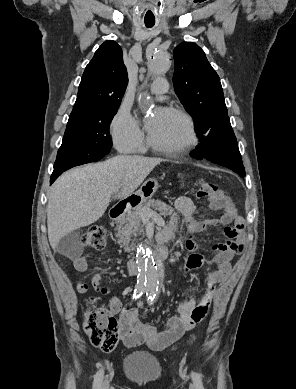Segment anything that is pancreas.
Listing matches in <instances>:
<instances>
[{"mask_svg":"<svg viewBox=\"0 0 296 389\" xmlns=\"http://www.w3.org/2000/svg\"><path fill=\"white\" fill-rule=\"evenodd\" d=\"M142 209H150L157 215L170 216L171 219H176L173 215V208L159 200H149L133 211H129L117 221L115 228V236L119 238L118 241L126 252L131 249L132 237L142 232Z\"/></svg>","mask_w":296,"mask_h":389,"instance_id":"cf45deb5","label":"pancreas"}]
</instances>
